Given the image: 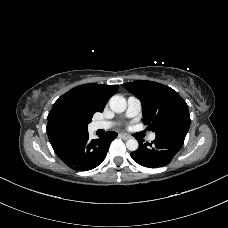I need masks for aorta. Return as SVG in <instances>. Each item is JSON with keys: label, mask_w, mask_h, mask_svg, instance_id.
<instances>
[{"label": "aorta", "mask_w": 228, "mask_h": 228, "mask_svg": "<svg viewBox=\"0 0 228 228\" xmlns=\"http://www.w3.org/2000/svg\"><path fill=\"white\" fill-rule=\"evenodd\" d=\"M110 108L115 113H122L126 110V99L120 95H114L109 101ZM127 149L130 151H136L139 147V143L136 139H129L126 142Z\"/></svg>", "instance_id": "aorta-1"}]
</instances>
